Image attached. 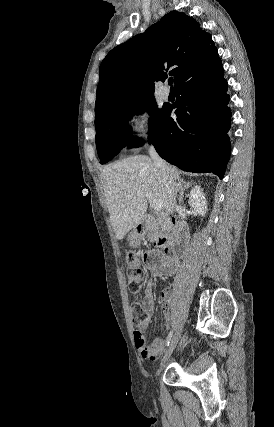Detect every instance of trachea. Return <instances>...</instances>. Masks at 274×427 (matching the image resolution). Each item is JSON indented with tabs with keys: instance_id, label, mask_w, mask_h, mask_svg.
<instances>
[{
	"instance_id": "3493384b",
	"label": "trachea",
	"mask_w": 274,
	"mask_h": 427,
	"mask_svg": "<svg viewBox=\"0 0 274 427\" xmlns=\"http://www.w3.org/2000/svg\"><path fill=\"white\" fill-rule=\"evenodd\" d=\"M168 83H169V85H171V88H172V78H170V79L168 80Z\"/></svg>"
}]
</instances>
